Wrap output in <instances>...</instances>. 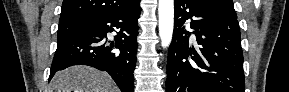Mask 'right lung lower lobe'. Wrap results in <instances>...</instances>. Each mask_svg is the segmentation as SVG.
Returning <instances> with one entry per match:
<instances>
[{"label":"right lung lower lobe","mask_w":289,"mask_h":92,"mask_svg":"<svg viewBox=\"0 0 289 92\" xmlns=\"http://www.w3.org/2000/svg\"><path fill=\"white\" fill-rule=\"evenodd\" d=\"M140 0L132 5L91 19L76 32L57 40L49 80L73 65H88L108 72L122 92H134ZM118 29L114 40L106 34Z\"/></svg>","instance_id":"obj_1"}]
</instances>
